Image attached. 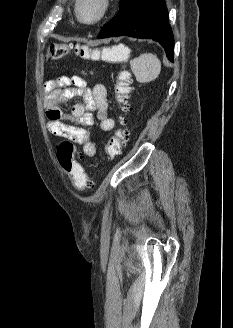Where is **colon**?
Returning a JSON list of instances; mask_svg holds the SVG:
<instances>
[{
    "mask_svg": "<svg viewBox=\"0 0 233 328\" xmlns=\"http://www.w3.org/2000/svg\"><path fill=\"white\" fill-rule=\"evenodd\" d=\"M70 53H74L84 59L102 61H124L128 57V52L118 46L93 49L79 43H53L47 50L46 59L58 60ZM114 92L121 116L119 128L111 136L105 147V152L109 158L119 155L129 136L125 123V115L130 110L129 101L132 93V76L129 71L123 69L119 72L115 80ZM57 159L62 169L70 175L77 189L86 190L90 188V180L78 161L79 155L71 140L65 139L59 143Z\"/></svg>",
    "mask_w": 233,
    "mask_h": 328,
    "instance_id": "obj_1",
    "label": "colon"
}]
</instances>
